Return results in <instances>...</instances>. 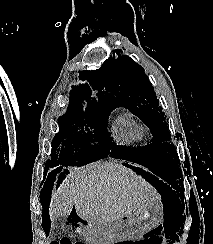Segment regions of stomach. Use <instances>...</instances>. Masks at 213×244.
Here are the masks:
<instances>
[{"mask_svg":"<svg viewBox=\"0 0 213 244\" xmlns=\"http://www.w3.org/2000/svg\"><path fill=\"white\" fill-rule=\"evenodd\" d=\"M163 221L158 204L145 203L138 206L130 215L120 221H90L91 233L88 244H120V239L142 236Z\"/></svg>","mask_w":213,"mask_h":244,"instance_id":"0dacf381","label":"stomach"}]
</instances>
